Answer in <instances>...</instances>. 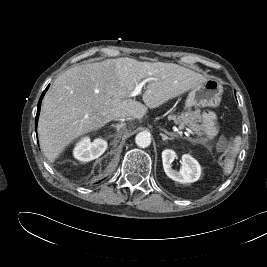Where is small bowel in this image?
I'll list each match as a JSON object with an SVG mask.
<instances>
[{"instance_id":"1","label":"small bowel","mask_w":267,"mask_h":267,"mask_svg":"<svg viewBox=\"0 0 267 267\" xmlns=\"http://www.w3.org/2000/svg\"><path fill=\"white\" fill-rule=\"evenodd\" d=\"M216 117L211 112H204L201 116L202 125L205 131V134L208 138H213L216 134Z\"/></svg>"}]
</instances>
